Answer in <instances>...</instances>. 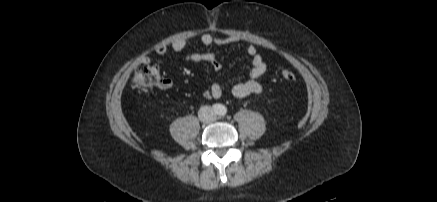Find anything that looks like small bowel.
<instances>
[{
    "mask_svg": "<svg viewBox=\"0 0 437 202\" xmlns=\"http://www.w3.org/2000/svg\"><path fill=\"white\" fill-rule=\"evenodd\" d=\"M194 38L199 39L200 42L205 46H209L212 44H216L218 46H227L230 44L238 43L241 40L238 36H221L214 33H204ZM190 40L191 38H180L175 40L171 44L172 52L175 54H179L188 45ZM155 53L158 55H166L169 53V48L166 45H158L155 48ZM246 53L251 58V70L249 72V77L244 81L234 84L230 89V94L237 99H243L250 94H257L261 92L262 87L260 84V79L265 75L267 71V64L264 61L262 55L258 53L255 45H247ZM180 58L187 62H208L211 64L216 72H219L222 69V63L218 56L214 53L197 52L183 55ZM171 85L172 82L169 79L165 78L164 83L161 85V87L169 88L171 87ZM223 93L224 88L222 87V85L219 82L214 81L210 89L204 93V97L207 99L220 98Z\"/></svg>",
    "mask_w": 437,
    "mask_h": 202,
    "instance_id": "obj_1",
    "label": "small bowel"
}]
</instances>
